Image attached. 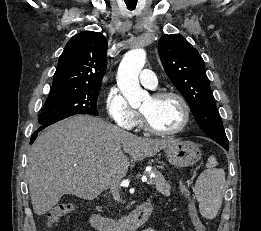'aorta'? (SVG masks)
Instances as JSON below:
<instances>
[{
	"instance_id": "762f6f07",
	"label": "aorta",
	"mask_w": 261,
	"mask_h": 231,
	"mask_svg": "<svg viewBox=\"0 0 261 231\" xmlns=\"http://www.w3.org/2000/svg\"><path fill=\"white\" fill-rule=\"evenodd\" d=\"M146 53L143 49H133L123 57L117 73V84L132 107H137L149 97L139 84V73L144 67Z\"/></svg>"
}]
</instances>
